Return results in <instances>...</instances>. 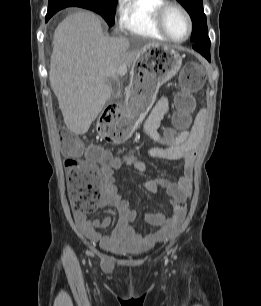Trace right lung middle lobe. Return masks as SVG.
<instances>
[{"instance_id":"dd1d6c3e","label":"right lung middle lobe","mask_w":261,"mask_h":306,"mask_svg":"<svg viewBox=\"0 0 261 306\" xmlns=\"http://www.w3.org/2000/svg\"><path fill=\"white\" fill-rule=\"evenodd\" d=\"M117 0H75V1H49V15H54L57 11L71 6L82 7L100 14L108 25L112 26L115 22V6Z\"/></svg>"}]
</instances>
